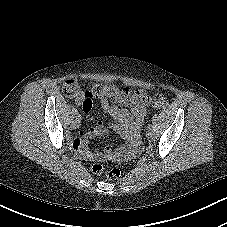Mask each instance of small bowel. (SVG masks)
<instances>
[{
	"label": "small bowel",
	"mask_w": 227,
	"mask_h": 227,
	"mask_svg": "<svg viewBox=\"0 0 227 227\" xmlns=\"http://www.w3.org/2000/svg\"><path fill=\"white\" fill-rule=\"evenodd\" d=\"M77 105H81L85 112H89L92 108V101L88 102L83 92H78L74 96ZM123 101L110 102L107 98L101 99V107L104 112L108 113L113 121L109 128L120 133L126 140L127 146L117 151L106 148L102 153L97 154L88 150V142L90 139L104 135L108 132V128L101 122L96 126L81 131L79 135L72 139V145L79 150L86 159H107L121 160L136 155L140 149V133L146 116L145 103L130 97L126 102L129 108L121 107L119 104Z\"/></svg>",
	"instance_id": "obj_1"
}]
</instances>
